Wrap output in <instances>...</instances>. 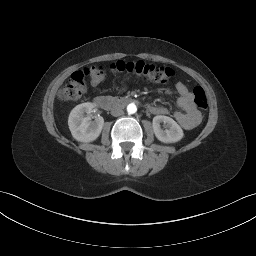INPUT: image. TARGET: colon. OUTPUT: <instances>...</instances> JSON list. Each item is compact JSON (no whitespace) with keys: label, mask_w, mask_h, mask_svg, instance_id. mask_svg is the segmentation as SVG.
Returning a JSON list of instances; mask_svg holds the SVG:
<instances>
[{"label":"colon","mask_w":256,"mask_h":256,"mask_svg":"<svg viewBox=\"0 0 256 256\" xmlns=\"http://www.w3.org/2000/svg\"><path fill=\"white\" fill-rule=\"evenodd\" d=\"M110 70L116 73H129L155 82H168L174 76L171 68L144 61H117L110 65ZM104 73L105 69L101 66H93L72 73L62 90V98L67 101L79 100L86 91V80L89 79L91 83L97 84L103 79ZM192 94L195 106L205 110L208 101L204 89L196 86Z\"/></svg>","instance_id":"1"}]
</instances>
